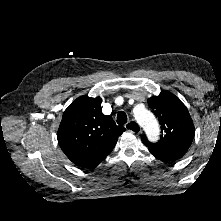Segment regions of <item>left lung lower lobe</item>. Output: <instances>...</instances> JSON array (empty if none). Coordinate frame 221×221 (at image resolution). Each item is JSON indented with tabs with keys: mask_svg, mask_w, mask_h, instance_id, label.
Segmentation results:
<instances>
[{
	"mask_svg": "<svg viewBox=\"0 0 221 221\" xmlns=\"http://www.w3.org/2000/svg\"><path fill=\"white\" fill-rule=\"evenodd\" d=\"M189 147L183 146L175 150L170 151H162L157 149H151L149 148V151L159 160L168 163V162H174L180 158H182L185 153L187 152Z\"/></svg>",
	"mask_w": 221,
	"mask_h": 221,
	"instance_id": "1",
	"label": "left lung lower lobe"
}]
</instances>
